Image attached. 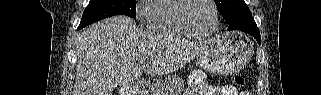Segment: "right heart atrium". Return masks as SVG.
I'll return each instance as SVG.
<instances>
[{
  "label": "right heart atrium",
  "mask_w": 321,
  "mask_h": 95,
  "mask_svg": "<svg viewBox=\"0 0 321 95\" xmlns=\"http://www.w3.org/2000/svg\"><path fill=\"white\" fill-rule=\"evenodd\" d=\"M152 3H153L152 0H146V1H141L137 3L136 9H135V15L138 21L147 22L150 15Z\"/></svg>",
  "instance_id": "d8ad5b80"
}]
</instances>
